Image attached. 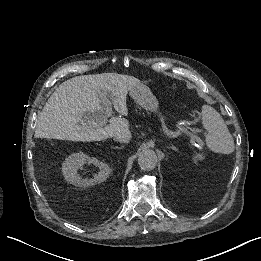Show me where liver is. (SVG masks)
<instances>
[{
  "instance_id": "1",
  "label": "liver",
  "mask_w": 261,
  "mask_h": 261,
  "mask_svg": "<svg viewBox=\"0 0 261 261\" xmlns=\"http://www.w3.org/2000/svg\"><path fill=\"white\" fill-rule=\"evenodd\" d=\"M139 86L138 79L114 73L67 80L53 93L38 117L35 138L72 142L103 141L123 135L132 138L126 118L112 117L103 127L89 124L103 111L104 100L112 102L117 113L128 116V93Z\"/></svg>"
}]
</instances>
